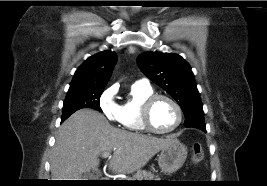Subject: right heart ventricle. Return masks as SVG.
I'll use <instances>...</instances> for the list:
<instances>
[{
    "instance_id": "1",
    "label": "right heart ventricle",
    "mask_w": 267,
    "mask_h": 186,
    "mask_svg": "<svg viewBox=\"0 0 267 186\" xmlns=\"http://www.w3.org/2000/svg\"><path fill=\"white\" fill-rule=\"evenodd\" d=\"M153 93V89L148 84L137 82L131 87L128 98L118 107L116 120L122 129L131 132L146 131L140 118L141 106Z\"/></svg>"
}]
</instances>
